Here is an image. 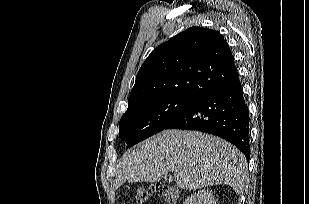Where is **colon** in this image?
<instances>
[{
	"label": "colon",
	"instance_id": "1",
	"mask_svg": "<svg viewBox=\"0 0 309 204\" xmlns=\"http://www.w3.org/2000/svg\"><path fill=\"white\" fill-rule=\"evenodd\" d=\"M153 192H156L165 204H175L180 194L178 188L159 183L150 188L137 189L133 199L136 203L141 204L146 201Z\"/></svg>",
	"mask_w": 309,
	"mask_h": 204
}]
</instances>
